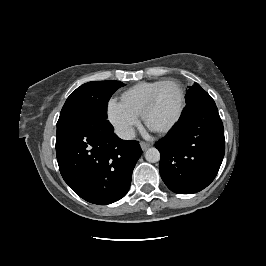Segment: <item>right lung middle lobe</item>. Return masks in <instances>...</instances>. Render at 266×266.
Here are the masks:
<instances>
[{"label": "right lung middle lobe", "instance_id": "dd1d6c3e", "mask_svg": "<svg viewBox=\"0 0 266 266\" xmlns=\"http://www.w3.org/2000/svg\"><path fill=\"white\" fill-rule=\"evenodd\" d=\"M125 84L120 81H92L78 87L67 98L57 122L56 138L83 120L100 116L106 118L107 103L112 94Z\"/></svg>", "mask_w": 266, "mask_h": 266}]
</instances>
